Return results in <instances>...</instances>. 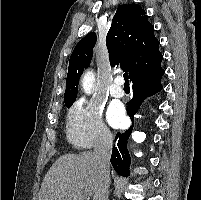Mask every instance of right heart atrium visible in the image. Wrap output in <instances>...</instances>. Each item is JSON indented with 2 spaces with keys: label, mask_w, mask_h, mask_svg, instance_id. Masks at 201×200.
<instances>
[{
  "label": "right heart atrium",
  "mask_w": 201,
  "mask_h": 200,
  "mask_svg": "<svg viewBox=\"0 0 201 200\" xmlns=\"http://www.w3.org/2000/svg\"><path fill=\"white\" fill-rule=\"evenodd\" d=\"M66 135L69 142L79 148L105 147L113 140L100 106L85 99L77 100L70 108Z\"/></svg>",
  "instance_id": "1"
}]
</instances>
